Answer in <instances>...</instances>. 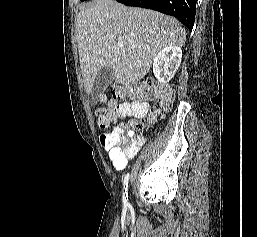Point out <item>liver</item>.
I'll use <instances>...</instances> for the list:
<instances>
[{
	"label": "liver",
	"mask_w": 257,
	"mask_h": 237,
	"mask_svg": "<svg viewBox=\"0 0 257 237\" xmlns=\"http://www.w3.org/2000/svg\"><path fill=\"white\" fill-rule=\"evenodd\" d=\"M76 32L87 94L102 68L113 69L116 83L137 84L159 51L167 46L182 47L186 41V31L175 18L114 0H96L82 7ZM118 41L123 47H118Z\"/></svg>",
	"instance_id": "liver-1"
}]
</instances>
